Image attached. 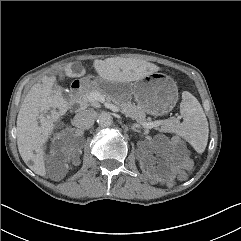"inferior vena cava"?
Masks as SVG:
<instances>
[{"label": "inferior vena cava", "mask_w": 241, "mask_h": 241, "mask_svg": "<svg viewBox=\"0 0 241 241\" xmlns=\"http://www.w3.org/2000/svg\"><path fill=\"white\" fill-rule=\"evenodd\" d=\"M97 113L93 109H86L78 112L74 119L73 124L81 129H89L94 125Z\"/></svg>", "instance_id": "602c4592"}]
</instances>
